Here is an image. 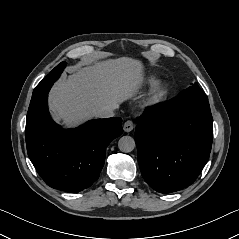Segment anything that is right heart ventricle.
Here are the masks:
<instances>
[{
	"label": "right heart ventricle",
	"mask_w": 239,
	"mask_h": 239,
	"mask_svg": "<svg viewBox=\"0 0 239 239\" xmlns=\"http://www.w3.org/2000/svg\"><path fill=\"white\" fill-rule=\"evenodd\" d=\"M154 80H155L154 77H150V78L148 79V83H152Z\"/></svg>",
	"instance_id": "right-heart-ventricle-1"
}]
</instances>
